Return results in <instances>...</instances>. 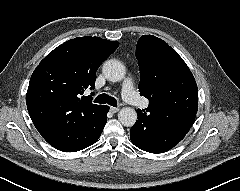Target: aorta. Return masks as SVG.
I'll return each mask as SVG.
<instances>
[{"label":"aorta","mask_w":240,"mask_h":191,"mask_svg":"<svg viewBox=\"0 0 240 191\" xmlns=\"http://www.w3.org/2000/svg\"><path fill=\"white\" fill-rule=\"evenodd\" d=\"M102 72L107 80L119 82L125 77L126 68L120 61L110 59L104 63ZM118 119L122 125L131 127L137 121V112L131 107H124L119 111Z\"/></svg>","instance_id":"obj_1"}]
</instances>
